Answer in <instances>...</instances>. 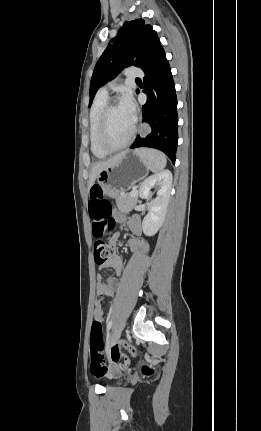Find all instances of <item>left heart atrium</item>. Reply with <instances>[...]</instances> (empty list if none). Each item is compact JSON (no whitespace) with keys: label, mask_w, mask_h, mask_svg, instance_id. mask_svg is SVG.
<instances>
[{"label":"left heart atrium","mask_w":261,"mask_h":431,"mask_svg":"<svg viewBox=\"0 0 261 431\" xmlns=\"http://www.w3.org/2000/svg\"><path fill=\"white\" fill-rule=\"evenodd\" d=\"M121 107L135 120L136 105L132 96L129 93H125L120 100Z\"/></svg>","instance_id":"left-heart-atrium-1"}]
</instances>
